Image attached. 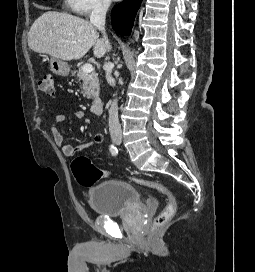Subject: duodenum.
<instances>
[{
  "label": "duodenum",
  "instance_id": "410a0bca",
  "mask_svg": "<svg viewBox=\"0 0 255 272\" xmlns=\"http://www.w3.org/2000/svg\"><path fill=\"white\" fill-rule=\"evenodd\" d=\"M103 105L104 103L102 99L99 98L93 99L91 103V112L94 114H100L102 112Z\"/></svg>",
  "mask_w": 255,
  "mask_h": 272
}]
</instances>
